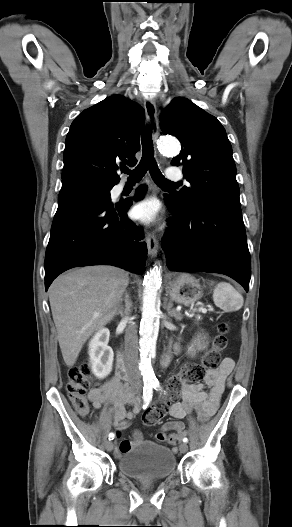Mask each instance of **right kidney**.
<instances>
[{
    "label": "right kidney",
    "instance_id": "obj_1",
    "mask_svg": "<svg viewBox=\"0 0 292 527\" xmlns=\"http://www.w3.org/2000/svg\"><path fill=\"white\" fill-rule=\"evenodd\" d=\"M110 332L106 328L98 330L89 342V356L92 372L103 379L110 374L113 366L114 353L108 346Z\"/></svg>",
    "mask_w": 292,
    "mask_h": 527
}]
</instances>
